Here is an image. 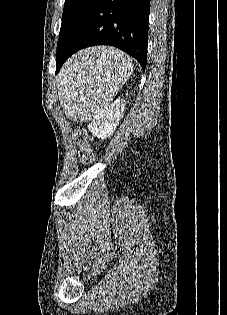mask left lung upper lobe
Instances as JSON below:
<instances>
[{"label": "left lung upper lobe", "mask_w": 227, "mask_h": 315, "mask_svg": "<svg viewBox=\"0 0 227 315\" xmlns=\"http://www.w3.org/2000/svg\"><path fill=\"white\" fill-rule=\"evenodd\" d=\"M99 0H66L58 39L57 53L62 50L78 26L87 18Z\"/></svg>", "instance_id": "1"}]
</instances>
